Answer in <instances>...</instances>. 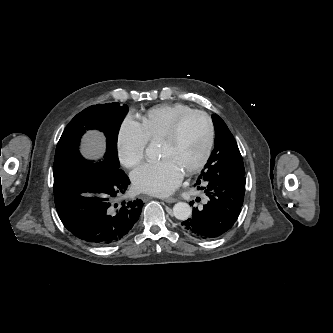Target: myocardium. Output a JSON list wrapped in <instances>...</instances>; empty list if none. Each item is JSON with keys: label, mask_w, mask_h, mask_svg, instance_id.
Instances as JSON below:
<instances>
[{"label": "myocardium", "mask_w": 333, "mask_h": 333, "mask_svg": "<svg viewBox=\"0 0 333 333\" xmlns=\"http://www.w3.org/2000/svg\"><path fill=\"white\" fill-rule=\"evenodd\" d=\"M192 116H200L204 118L208 127V139L205 147V151L200 160L185 171V174L191 175L200 171L208 162L215 144V127L211 116L203 110H191L181 116H179L171 125L167 133L161 138L163 142H174L179 135L180 129L184 122Z\"/></svg>", "instance_id": "f54148a6"}]
</instances>
